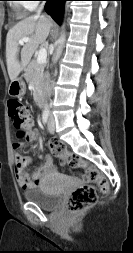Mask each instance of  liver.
<instances>
[{
	"mask_svg": "<svg viewBox=\"0 0 133 253\" xmlns=\"http://www.w3.org/2000/svg\"><path fill=\"white\" fill-rule=\"evenodd\" d=\"M52 26L53 22L50 18L37 14L23 19L8 31L6 62L11 81L17 79L21 71L27 67L35 50L46 41ZM25 37L30 38V41L22 45L19 61V40Z\"/></svg>",
	"mask_w": 133,
	"mask_h": 253,
	"instance_id": "1",
	"label": "liver"
}]
</instances>
